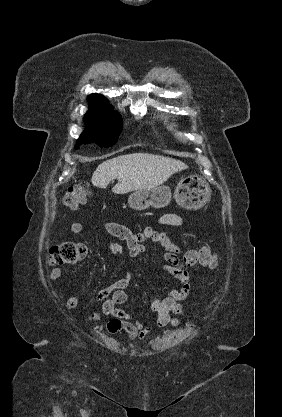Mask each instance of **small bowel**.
<instances>
[{
  "label": "small bowel",
  "mask_w": 282,
  "mask_h": 417,
  "mask_svg": "<svg viewBox=\"0 0 282 417\" xmlns=\"http://www.w3.org/2000/svg\"><path fill=\"white\" fill-rule=\"evenodd\" d=\"M184 224V218L178 213H165L158 218V225L180 227ZM104 231L125 242L129 255L133 258L141 256L150 249L158 250L164 260L162 268L178 279L182 286L179 289H170L156 297L150 306L151 312L155 315L154 324L159 327L176 326L179 323L178 317L184 315L181 301L188 299L191 293V283L186 269L180 266V248L174 244L170 238L155 227H145L138 232H132L126 226L114 222L106 221L101 224ZM83 230L80 222H73L70 226L72 234H79ZM109 249L113 256L124 259V247L118 241L109 243ZM64 272L60 268L50 271L48 278L51 281L60 279ZM131 280V272L126 271L124 275L115 281L111 286L100 290L96 295V300L102 302V309L98 313L92 314L94 320L102 316L112 319L107 323L106 330L110 334L119 332L126 333L129 340L143 341L151 332L153 323H143L133 319L125 310L118 308L117 305L126 302L127 294L125 289ZM59 299L68 308H75L80 302L78 295L64 297L59 295ZM174 316H173V315Z\"/></svg>",
  "instance_id": "small-bowel-1"
}]
</instances>
